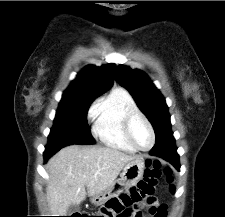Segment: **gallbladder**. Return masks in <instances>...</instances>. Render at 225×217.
<instances>
[{
    "instance_id": "bac80fb5",
    "label": "gallbladder",
    "mask_w": 225,
    "mask_h": 217,
    "mask_svg": "<svg viewBox=\"0 0 225 217\" xmlns=\"http://www.w3.org/2000/svg\"><path fill=\"white\" fill-rule=\"evenodd\" d=\"M79 211H80V205L79 204H71L68 207L67 216H71L72 214L77 213Z\"/></svg>"
}]
</instances>
